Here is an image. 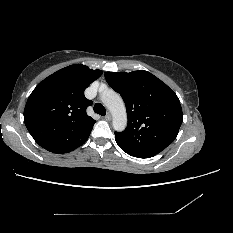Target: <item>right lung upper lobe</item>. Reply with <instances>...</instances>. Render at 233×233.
<instances>
[{
  "label": "right lung upper lobe",
  "mask_w": 233,
  "mask_h": 233,
  "mask_svg": "<svg viewBox=\"0 0 233 233\" xmlns=\"http://www.w3.org/2000/svg\"><path fill=\"white\" fill-rule=\"evenodd\" d=\"M102 74L82 64L58 70L40 82L24 109L25 125L34 140L53 153H68L85 143L95 120L84 90Z\"/></svg>",
  "instance_id": "obj_1"
}]
</instances>
